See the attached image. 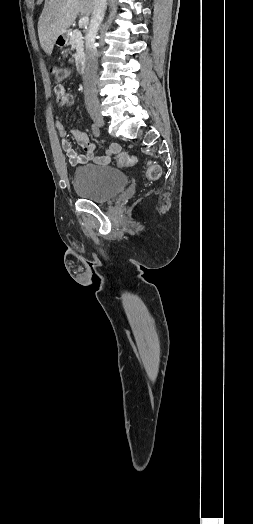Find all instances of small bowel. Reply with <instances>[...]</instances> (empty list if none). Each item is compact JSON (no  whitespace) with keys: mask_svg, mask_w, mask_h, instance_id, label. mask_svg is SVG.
Masks as SVG:
<instances>
[{"mask_svg":"<svg viewBox=\"0 0 253 524\" xmlns=\"http://www.w3.org/2000/svg\"><path fill=\"white\" fill-rule=\"evenodd\" d=\"M54 93L56 95L57 101L61 106H71L74 103V97L72 94L65 92V90H57L54 88ZM57 134L61 139V147L65 152L68 162L71 166L85 165L89 162H93L97 165H107L111 157L120 152L121 147L117 143H112L106 149L104 154L100 156L94 155L95 144L92 143L89 139V136L86 132L80 129H72L71 134L75 139L78 146L82 149L83 153L78 154L72 143L66 138L68 135V128L65 126L62 120L57 119L55 122Z\"/></svg>","mask_w":253,"mask_h":524,"instance_id":"obj_1","label":"small bowel"}]
</instances>
